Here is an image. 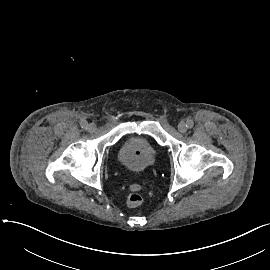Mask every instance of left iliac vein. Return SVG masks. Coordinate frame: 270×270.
I'll return each mask as SVG.
<instances>
[{
	"mask_svg": "<svg viewBox=\"0 0 270 270\" xmlns=\"http://www.w3.org/2000/svg\"><path fill=\"white\" fill-rule=\"evenodd\" d=\"M178 130L179 132L181 133H185L187 131V126H186V123L181 121L179 124H178Z\"/></svg>",
	"mask_w": 270,
	"mask_h": 270,
	"instance_id": "4c4485c4",
	"label": "left iliac vein"
}]
</instances>
